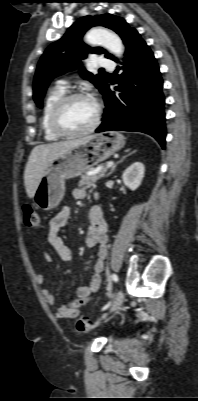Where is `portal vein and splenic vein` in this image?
I'll list each match as a JSON object with an SVG mask.
<instances>
[{
	"label": "portal vein and splenic vein",
	"instance_id": "obj_1",
	"mask_svg": "<svg viewBox=\"0 0 198 401\" xmlns=\"http://www.w3.org/2000/svg\"><path fill=\"white\" fill-rule=\"evenodd\" d=\"M113 165H114V163H113L112 161H110V162L107 163L106 167H107V168H110V167H112Z\"/></svg>",
	"mask_w": 198,
	"mask_h": 401
}]
</instances>
